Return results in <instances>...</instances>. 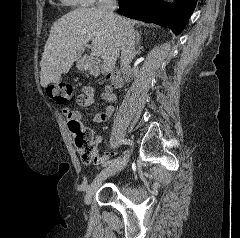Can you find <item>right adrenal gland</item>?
Segmentation results:
<instances>
[{"label": "right adrenal gland", "instance_id": "right-adrenal-gland-1", "mask_svg": "<svg viewBox=\"0 0 240 238\" xmlns=\"http://www.w3.org/2000/svg\"><path fill=\"white\" fill-rule=\"evenodd\" d=\"M135 35H136V44L139 45L140 39H141V34H140V32L136 31Z\"/></svg>", "mask_w": 240, "mask_h": 238}]
</instances>
